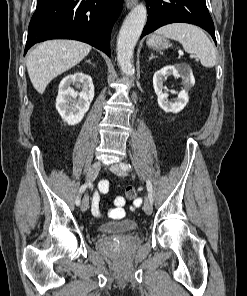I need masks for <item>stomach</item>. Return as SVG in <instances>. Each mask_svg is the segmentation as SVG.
Instances as JSON below:
<instances>
[{
    "label": "stomach",
    "mask_w": 247,
    "mask_h": 296,
    "mask_svg": "<svg viewBox=\"0 0 247 296\" xmlns=\"http://www.w3.org/2000/svg\"><path fill=\"white\" fill-rule=\"evenodd\" d=\"M147 45L155 50H163L168 48V40L161 35H151L147 39Z\"/></svg>",
    "instance_id": "1"
}]
</instances>
